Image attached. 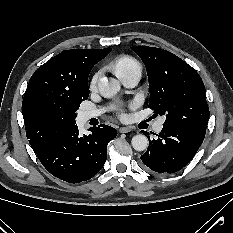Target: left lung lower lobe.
Masks as SVG:
<instances>
[{"label":"left lung lower lobe","mask_w":233,"mask_h":233,"mask_svg":"<svg viewBox=\"0 0 233 233\" xmlns=\"http://www.w3.org/2000/svg\"><path fill=\"white\" fill-rule=\"evenodd\" d=\"M156 135L157 139L149 140V147L141 156L147 169L156 173H174L182 169L194 157L205 136L169 125H164Z\"/></svg>","instance_id":"obj_1"}]
</instances>
